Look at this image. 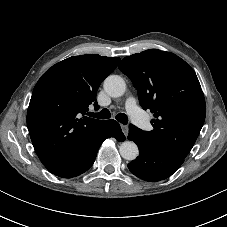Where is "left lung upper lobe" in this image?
<instances>
[{
  "label": "left lung upper lobe",
  "instance_id": "1",
  "mask_svg": "<svg viewBox=\"0 0 227 227\" xmlns=\"http://www.w3.org/2000/svg\"><path fill=\"white\" fill-rule=\"evenodd\" d=\"M118 67L137 88L141 107L154 114V129L142 131L146 139L161 151L185 159L206 115L194 70L177 55L158 49L125 57Z\"/></svg>",
  "mask_w": 227,
  "mask_h": 227
}]
</instances>
